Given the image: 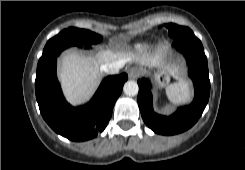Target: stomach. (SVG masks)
I'll return each mask as SVG.
<instances>
[{"label":"stomach","instance_id":"stomach-1","mask_svg":"<svg viewBox=\"0 0 245 170\" xmlns=\"http://www.w3.org/2000/svg\"><path fill=\"white\" fill-rule=\"evenodd\" d=\"M174 74V72L172 70H166V69H162L160 71L155 72L154 71V78L155 81L157 82V84L159 86H164L166 85L169 80L170 77Z\"/></svg>","mask_w":245,"mask_h":170}]
</instances>
